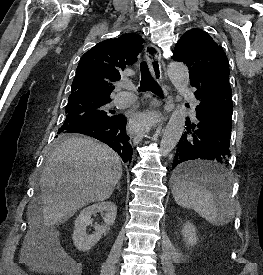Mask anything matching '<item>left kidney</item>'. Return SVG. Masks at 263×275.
<instances>
[{"label":"left kidney","mask_w":263,"mask_h":275,"mask_svg":"<svg viewBox=\"0 0 263 275\" xmlns=\"http://www.w3.org/2000/svg\"><path fill=\"white\" fill-rule=\"evenodd\" d=\"M182 234L187 245L193 246L197 243L196 228L192 223L186 222L182 229Z\"/></svg>","instance_id":"obj_1"}]
</instances>
